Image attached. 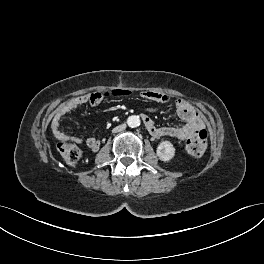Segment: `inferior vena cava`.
Returning a JSON list of instances; mask_svg holds the SVG:
<instances>
[{"label":"inferior vena cava","mask_w":264,"mask_h":264,"mask_svg":"<svg viewBox=\"0 0 264 264\" xmlns=\"http://www.w3.org/2000/svg\"><path fill=\"white\" fill-rule=\"evenodd\" d=\"M125 129V125H120V126H118V127H115L114 128V131L115 132H118V131H122V130H124Z\"/></svg>","instance_id":"602c4592"}]
</instances>
